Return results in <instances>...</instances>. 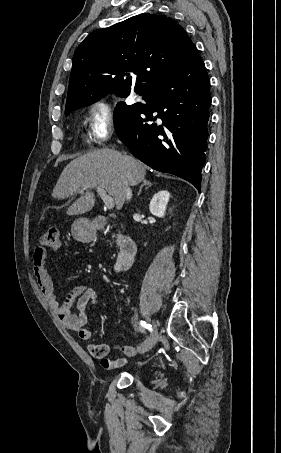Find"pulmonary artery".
<instances>
[{"mask_svg": "<svg viewBox=\"0 0 281 453\" xmlns=\"http://www.w3.org/2000/svg\"><path fill=\"white\" fill-rule=\"evenodd\" d=\"M136 101H141V98L139 96H136Z\"/></svg>", "mask_w": 281, "mask_h": 453, "instance_id": "obj_1", "label": "pulmonary artery"}]
</instances>
